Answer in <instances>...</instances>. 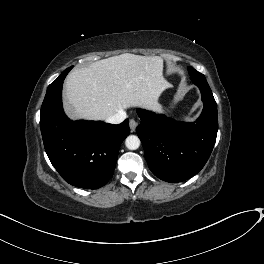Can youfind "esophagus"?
I'll return each mask as SVG.
<instances>
[{
    "label": "esophagus",
    "instance_id": "esophagus-1",
    "mask_svg": "<svg viewBox=\"0 0 264 264\" xmlns=\"http://www.w3.org/2000/svg\"><path fill=\"white\" fill-rule=\"evenodd\" d=\"M137 125H138V122L135 119H133V118L130 119L129 126H130V129L132 132L135 131Z\"/></svg>",
    "mask_w": 264,
    "mask_h": 264
}]
</instances>
